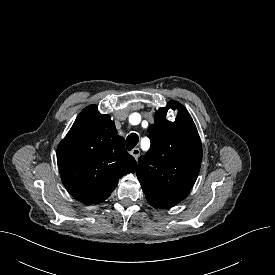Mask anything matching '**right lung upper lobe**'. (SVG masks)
I'll return each mask as SVG.
<instances>
[{"mask_svg": "<svg viewBox=\"0 0 275 275\" xmlns=\"http://www.w3.org/2000/svg\"><path fill=\"white\" fill-rule=\"evenodd\" d=\"M57 163L67 191L84 204L107 199L137 163L109 115L90 105L82 110L57 148Z\"/></svg>", "mask_w": 275, "mask_h": 275, "instance_id": "1", "label": "right lung upper lobe"}]
</instances>
